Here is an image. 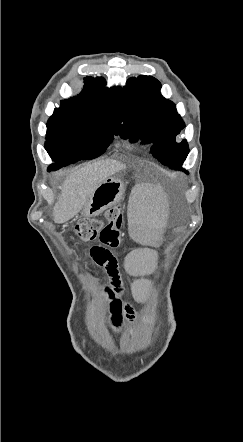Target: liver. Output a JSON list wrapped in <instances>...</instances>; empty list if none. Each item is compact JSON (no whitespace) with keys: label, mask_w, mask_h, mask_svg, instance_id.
I'll return each instance as SVG.
<instances>
[{"label":"liver","mask_w":243,"mask_h":442,"mask_svg":"<svg viewBox=\"0 0 243 442\" xmlns=\"http://www.w3.org/2000/svg\"><path fill=\"white\" fill-rule=\"evenodd\" d=\"M125 164L112 160L87 163L72 172L64 181L62 192L53 208L55 223L61 224L76 216L96 188L108 177L123 170Z\"/></svg>","instance_id":"6515ba94"}]
</instances>
